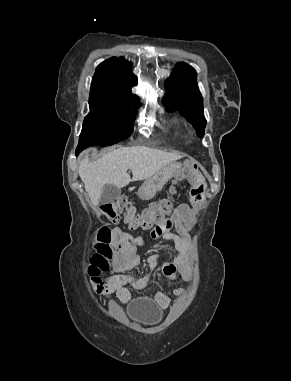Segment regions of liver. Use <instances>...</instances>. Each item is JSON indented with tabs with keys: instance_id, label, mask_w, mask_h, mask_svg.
Wrapping results in <instances>:
<instances>
[{
	"instance_id": "6515ba94",
	"label": "liver",
	"mask_w": 291,
	"mask_h": 381,
	"mask_svg": "<svg viewBox=\"0 0 291 381\" xmlns=\"http://www.w3.org/2000/svg\"><path fill=\"white\" fill-rule=\"evenodd\" d=\"M170 153L144 146L122 147L113 150L94 162L86 156L80 163L79 176L93 205L97 206L105 185L125 187L131 181L147 179L168 164L180 159ZM132 171V179L127 170Z\"/></svg>"
}]
</instances>
